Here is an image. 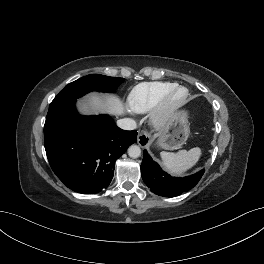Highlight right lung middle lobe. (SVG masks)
Wrapping results in <instances>:
<instances>
[{
    "label": "right lung middle lobe",
    "mask_w": 264,
    "mask_h": 264,
    "mask_svg": "<svg viewBox=\"0 0 264 264\" xmlns=\"http://www.w3.org/2000/svg\"><path fill=\"white\" fill-rule=\"evenodd\" d=\"M124 78L108 77L99 74L84 76L69 83L51 102L47 116L52 115L65 104L75 101L90 91L113 92Z\"/></svg>",
    "instance_id": "dd1d6c3e"
}]
</instances>
